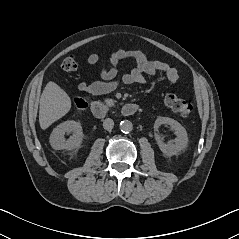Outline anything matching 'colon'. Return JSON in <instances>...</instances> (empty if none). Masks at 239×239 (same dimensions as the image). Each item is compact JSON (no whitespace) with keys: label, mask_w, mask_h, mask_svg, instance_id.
Instances as JSON below:
<instances>
[{"label":"colon","mask_w":239,"mask_h":239,"mask_svg":"<svg viewBox=\"0 0 239 239\" xmlns=\"http://www.w3.org/2000/svg\"><path fill=\"white\" fill-rule=\"evenodd\" d=\"M78 68V62L75 55L66 57L61 64V71L65 74L72 73ZM166 105L181 117H188L193 106L190 102L179 98L175 94H168L165 97ZM78 111H84L87 108V101L82 98H78L75 102Z\"/></svg>","instance_id":"5ec220e1"}]
</instances>
